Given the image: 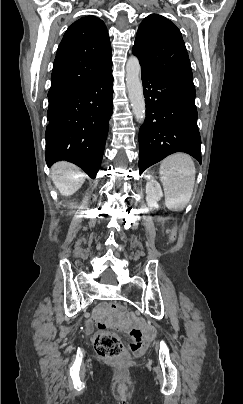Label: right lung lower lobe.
<instances>
[{"label":"right lung lower lobe","instance_id":"1","mask_svg":"<svg viewBox=\"0 0 243 404\" xmlns=\"http://www.w3.org/2000/svg\"><path fill=\"white\" fill-rule=\"evenodd\" d=\"M112 94L111 70L80 87L48 96L45 157L49 167L66 160L96 177L113 111Z\"/></svg>","mask_w":243,"mask_h":404}]
</instances>
